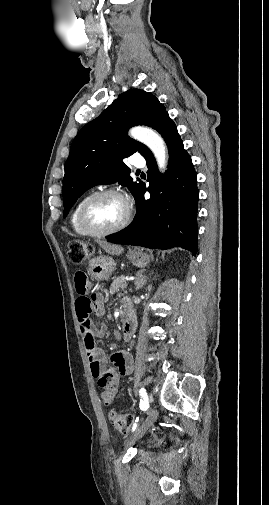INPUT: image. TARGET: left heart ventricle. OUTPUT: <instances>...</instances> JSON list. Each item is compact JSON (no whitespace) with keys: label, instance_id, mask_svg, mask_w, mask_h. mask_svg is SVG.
I'll list each match as a JSON object with an SVG mask.
<instances>
[{"label":"left heart ventricle","instance_id":"1","mask_svg":"<svg viewBox=\"0 0 269 505\" xmlns=\"http://www.w3.org/2000/svg\"><path fill=\"white\" fill-rule=\"evenodd\" d=\"M125 201L118 196H105L94 202L89 211L88 219L96 227L108 229L119 224L125 217Z\"/></svg>","mask_w":269,"mask_h":505}]
</instances>
